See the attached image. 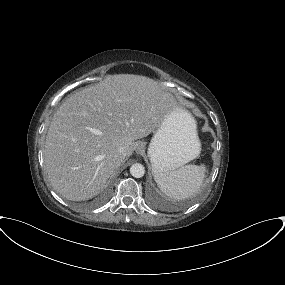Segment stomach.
<instances>
[{"mask_svg":"<svg viewBox=\"0 0 285 285\" xmlns=\"http://www.w3.org/2000/svg\"><path fill=\"white\" fill-rule=\"evenodd\" d=\"M201 150L196 122L187 111L173 112L155 131L148 148L154 172H169L195 159Z\"/></svg>","mask_w":285,"mask_h":285,"instance_id":"stomach-1","label":"stomach"}]
</instances>
